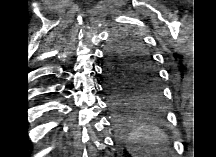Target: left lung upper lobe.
Here are the masks:
<instances>
[{"label":"left lung upper lobe","instance_id":"1","mask_svg":"<svg viewBox=\"0 0 216 157\" xmlns=\"http://www.w3.org/2000/svg\"><path fill=\"white\" fill-rule=\"evenodd\" d=\"M109 82L132 90L134 101L154 98L160 93L159 75L149 52L131 33L112 37L106 50Z\"/></svg>","mask_w":216,"mask_h":157}]
</instances>
